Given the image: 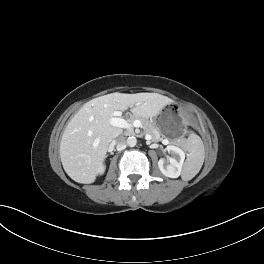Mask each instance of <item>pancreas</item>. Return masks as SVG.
I'll list each match as a JSON object with an SVG mask.
<instances>
[{"label": "pancreas", "instance_id": "cf45deb5", "mask_svg": "<svg viewBox=\"0 0 264 264\" xmlns=\"http://www.w3.org/2000/svg\"><path fill=\"white\" fill-rule=\"evenodd\" d=\"M135 119H139L141 121L145 133L150 134L153 140H162V138L160 137V131L155 124L138 115H134L132 118H130L129 123L132 124Z\"/></svg>", "mask_w": 264, "mask_h": 264}]
</instances>
